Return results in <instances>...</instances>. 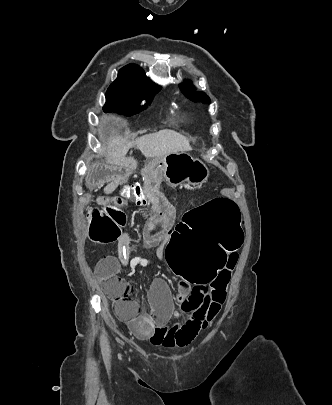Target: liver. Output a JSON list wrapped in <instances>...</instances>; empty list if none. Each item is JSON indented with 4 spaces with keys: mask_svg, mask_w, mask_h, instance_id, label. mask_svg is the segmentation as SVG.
Segmentation results:
<instances>
[{
    "mask_svg": "<svg viewBox=\"0 0 332 405\" xmlns=\"http://www.w3.org/2000/svg\"><path fill=\"white\" fill-rule=\"evenodd\" d=\"M134 144L146 158L161 159L164 156L192 150L189 140L174 130H160L156 133L147 134L135 141H128L122 136L112 135L108 138L107 148L108 157H111L114 163H125L126 154Z\"/></svg>",
    "mask_w": 332,
    "mask_h": 405,
    "instance_id": "6515ba94",
    "label": "liver"
}]
</instances>
